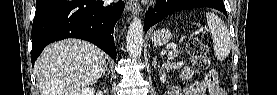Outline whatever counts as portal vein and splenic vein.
Segmentation results:
<instances>
[{"label":"portal vein and splenic vein","mask_w":277,"mask_h":95,"mask_svg":"<svg viewBox=\"0 0 277 95\" xmlns=\"http://www.w3.org/2000/svg\"><path fill=\"white\" fill-rule=\"evenodd\" d=\"M177 44L173 43L167 46V49H176Z\"/></svg>","instance_id":"obj_1"}]
</instances>
